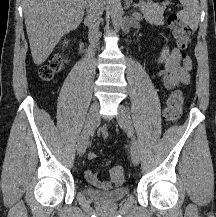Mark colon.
<instances>
[{
	"label": "colon",
	"instance_id": "obj_1",
	"mask_svg": "<svg viewBox=\"0 0 216 217\" xmlns=\"http://www.w3.org/2000/svg\"><path fill=\"white\" fill-rule=\"evenodd\" d=\"M167 23L172 31L173 38L177 47L180 50H186L190 43V32L188 27L178 18L176 14H170L167 18ZM66 58L64 56H55L51 61L44 65L40 71L39 76L44 81L51 80L54 75L59 72L65 65ZM184 104V97L180 90L176 89L170 93L166 108L164 111V117L166 121L170 123L176 122L182 112ZM98 136L102 140H107L110 136L109 129L106 126H102L98 130ZM111 180L115 184H122L125 180L124 169L121 166H114L110 170Z\"/></svg>",
	"mask_w": 216,
	"mask_h": 217
}]
</instances>
